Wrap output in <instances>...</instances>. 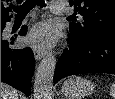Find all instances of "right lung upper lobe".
I'll return each mask as SVG.
<instances>
[{"label": "right lung upper lobe", "instance_id": "right-lung-upper-lobe-1", "mask_svg": "<svg viewBox=\"0 0 115 99\" xmlns=\"http://www.w3.org/2000/svg\"><path fill=\"white\" fill-rule=\"evenodd\" d=\"M11 1L12 0H1V23L9 21L12 17L8 15L13 7Z\"/></svg>", "mask_w": 115, "mask_h": 99}]
</instances>
